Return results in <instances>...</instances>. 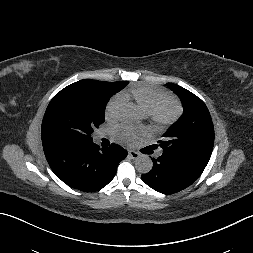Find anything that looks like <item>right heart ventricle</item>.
Listing matches in <instances>:
<instances>
[{"label": "right heart ventricle", "mask_w": 253, "mask_h": 253, "mask_svg": "<svg viewBox=\"0 0 253 253\" xmlns=\"http://www.w3.org/2000/svg\"><path fill=\"white\" fill-rule=\"evenodd\" d=\"M122 97L134 100L137 105L146 114H150L157 104L167 97V94L161 90L147 86H136L121 93Z\"/></svg>", "instance_id": "e07e8e85"}]
</instances>
